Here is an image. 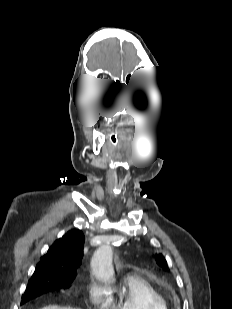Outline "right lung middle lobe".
Masks as SVG:
<instances>
[{
	"instance_id": "1",
	"label": "right lung middle lobe",
	"mask_w": 232,
	"mask_h": 309,
	"mask_svg": "<svg viewBox=\"0 0 232 309\" xmlns=\"http://www.w3.org/2000/svg\"><path fill=\"white\" fill-rule=\"evenodd\" d=\"M72 281L63 278H52L46 275H39L37 277H32L28 283V286L22 295L21 304L44 294L49 291L58 289L60 287H67Z\"/></svg>"
}]
</instances>
